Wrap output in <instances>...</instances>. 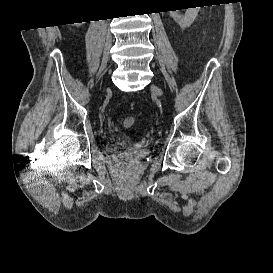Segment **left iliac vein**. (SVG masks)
I'll return each mask as SVG.
<instances>
[{
  "label": "left iliac vein",
  "instance_id": "4c4485c4",
  "mask_svg": "<svg viewBox=\"0 0 273 273\" xmlns=\"http://www.w3.org/2000/svg\"><path fill=\"white\" fill-rule=\"evenodd\" d=\"M151 90L158 96L162 95L161 89L159 87H157L156 85H152Z\"/></svg>",
  "mask_w": 273,
  "mask_h": 273
}]
</instances>
